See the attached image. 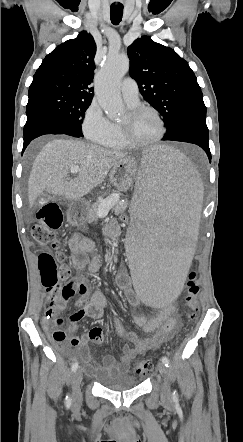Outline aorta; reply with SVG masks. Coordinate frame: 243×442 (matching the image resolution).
I'll return each instance as SVG.
<instances>
[{
  "mask_svg": "<svg viewBox=\"0 0 243 442\" xmlns=\"http://www.w3.org/2000/svg\"><path fill=\"white\" fill-rule=\"evenodd\" d=\"M129 70V60L121 55H109L95 78V94L99 105L109 118L124 111L119 82Z\"/></svg>",
  "mask_w": 243,
  "mask_h": 442,
  "instance_id": "obj_1",
  "label": "aorta"
}]
</instances>
